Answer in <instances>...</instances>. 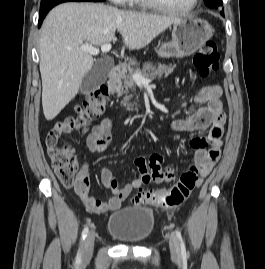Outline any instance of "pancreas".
<instances>
[{"mask_svg":"<svg viewBox=\"0 0 265 269\" xmlns=\"http://www.w3.org/2000/svg\"><path fill=\"white\" fill-rule=\"evenodd\" d=\"M129 71H131L129 69ZM173 71V66L164 65L158 63L157 67H153L146 71L137 70V73H140L143 77L148 79H154L155 77H162L163 75L167 76ZM113 89L117 92L118 96L125 95L121 102V105L126 106V109L129 111L133 108V105L129 103L130 99L132 98L131 95H128L129 90H135V81L131 74H128L126 70L120 72L119 76L116 80L112 81Z\"/></svg>","mask_w":265,"mask_h":269,"instance_id":"cf45deb5","label":"pancreas"}]
</instances>
